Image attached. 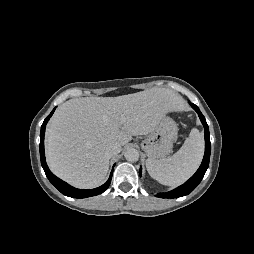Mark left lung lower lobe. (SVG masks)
<instances>
[{"label":"left lung lower lobe","mask_w":254,"mask_h":254,"mask_svg":"<svg viewBox=\"0 0 254 254\" xmlns=\"http://www.w3.org/2000/svg\"><path fill=\"white\" fill-rule=\"evenodd\" d=\"M192 108L198 113L199 118L204 126V134H205V154L203 161L199 167V169L196 171V173L189 179L187 180L183 185L177 187L176 189L169 191L167 193H159L156 195L159 198H178L182 197L185 195H188L191 193L201 182V180L204 177V174L209 166V160H210V152H211V144H210V135H209V128L206 123V119L199 110V108L193 104L190 103ZM139 174L141 176V168L139 170Z\"/></svg>","instance_id":"left-lung-lower-lobe-1"}]
</instances>
